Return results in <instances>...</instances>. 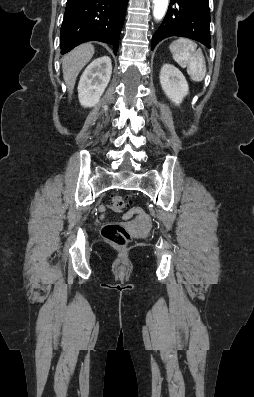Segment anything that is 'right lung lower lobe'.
Segmentation results:
<instances>
[{
  "instance_id": "1",
  "label": "right lung lower lobe",
  "mask_w": 254,
  "mask_h": 397,
  "mask_svg": "<svg viewBox=\"0 0 254 397\" xmlns=\"http://www.w3.org/2000/svg\"><path fill=\"white\" fill-rule=\"evenodd\" d=\"M128 0H67L60 30L61 54L87 41H101L114 46L117 54L119 36Z\"/></svg>"
}]
</instances>
